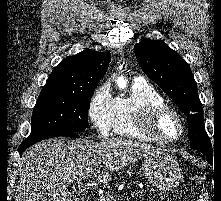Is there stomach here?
<instances>
[{"label":"stomach","mask_w":221,"mask_h":201,"mask_svg":"<svg viewBox=\"0 0 221 201\" xmlns=\"http://www.w3.org/2000/svg\"><path fill=\"white\" fill-rule=\"evenodd\" d=\"M145 178L161 191L175 188L181 180V168L166 150L149 154L142 164Z\"/></svg>","instance_id":"0dacf381"}]
</instances>
